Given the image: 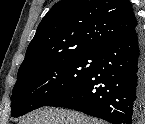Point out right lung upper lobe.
Returning <instances> with one entry per match:
<instances>
[{
	"instance_id": "right-lung-upper-lobe-1",
	"label": "right lung upper lobe",
	"mask_w": 145,
	"mask_h": 124,
	"mask_svg": "<svg viewBox=\"0 0 145 124\" xmlns=\"http://www.w3.org/2000/svg\"><path fill=\"white\" fill-rule=\"evenodd\" d=\"M138 26L129 0H61L40 22L18 76L74 54H99Z\"/></svg>"
}]
</instances>
